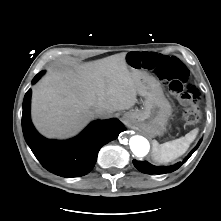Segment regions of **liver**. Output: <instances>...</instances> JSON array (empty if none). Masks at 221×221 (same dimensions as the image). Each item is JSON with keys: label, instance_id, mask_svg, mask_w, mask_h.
Listing matches in <instances>:
<instances>
[{"label": "liver", "instance_id": "1", "mask_svg": "<svg viewBox=\"0 0 221 221\" xmlns=\"http://www.w3.org/2000/svg\"><path fill=\"white\" fill-rule=\"evenodd\" d=\"M140 72H133L126 53L85 63L72 71H50L33 89L31 115L48 138H68L82 130L102 109L111 116L137 102Z\"/></svg>", "mask_w": 221, "mask_h": 221}]
</instances>
